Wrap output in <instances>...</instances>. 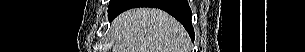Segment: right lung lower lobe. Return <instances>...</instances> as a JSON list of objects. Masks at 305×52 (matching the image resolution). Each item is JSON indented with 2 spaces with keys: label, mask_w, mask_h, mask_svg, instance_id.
<instances>
[{
  "label": "right lung lower lobe",
  "mask_w": 305,
  "mask_h": 52,
  "mask_svg": "<svg viewBox=\"0 0 305 52\" xmlns=\"http://www.w3.org/2000/svg\"><path fill=\"white\" fill-rule=\"evenodd\" d=\"M135 7L160 8L175 17L194 40L191 23L192 12L187 0H111L108 8L109 20H113L121 12Z\"/></svg>",
  "instance_id": "98d812e1"
}]
</instances>
